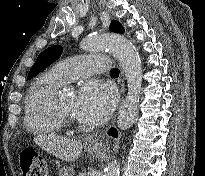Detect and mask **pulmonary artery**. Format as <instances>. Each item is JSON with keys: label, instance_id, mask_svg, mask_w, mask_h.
Wrapping results in <instances>:
<instances>
[{"label": "pulmonary artery", "instance_id": "obj_1", "mask_svg": "<svg viewBox=\"0 0 205 176\" xmlns=\"http://www.w3.org/2000/svg\"><path fill=\"white\" fill-rule=\"evenodd\" d=\"M109 69L108 57L104 55L74 56L57 62L51 72L64 83L102 73Z\"/></svg>", "mask_w": 205, "mask_h": 176}]
</instances>
